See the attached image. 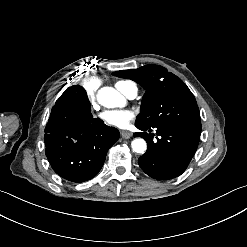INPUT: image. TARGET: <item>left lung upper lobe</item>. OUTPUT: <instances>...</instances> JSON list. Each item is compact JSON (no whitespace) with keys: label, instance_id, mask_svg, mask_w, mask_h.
<instances>
[{"label":"left lung upper lobe","instance_id":"5c2ea615","mask_svg":"<svg viewBox=\"0 0 247 247\" xmlns=\"http://www.w3.org/2000/svg\"><path fill=\"white\" fill-rule=\"evenodd\" d=\"M112 75L136 81L145 90L137 127H179L201 134L196 99L186 84L160 65L113 72Z\"/></svg>","mask_w":247,"mask_h":247}]
</instances>
